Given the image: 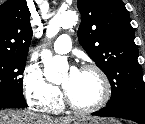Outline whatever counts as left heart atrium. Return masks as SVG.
I'll use <instances>...</instances> for the list:
<instances>
[{
  "label": "left heart atrium",
  "mask_w": 145,
  "mask_h": 124,
  "mask_svg": "<svg viewBox=\"0 0 145 124\" xmlns=\"http://www.w3.org/2000/svg\"><path fill=\"white\" fill-rule=\"evenodd\" d=\"M70 72H71L72 77H74L77 74L78 70L72 69Z\"/></svg>",
  "instance_id": "39dd6f15"
}]
</instances>
